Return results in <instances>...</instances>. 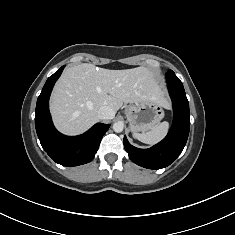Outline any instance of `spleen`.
<instances>
[{"label": "spleen", "mask_w": 235, "mask_h": 235, "mask_svg": "<svg viewBox=\"0 0 235 235\" xmlns=\"http://www.w3.org/2000/svg\"><path fill=\"white\" fill-rule=\"evenodd\" d=\"M168 129H169V123L164 121L149 132L141 134L135 133L133 134V136L143 143L154 145L159 141H161L166 136Z\"/></svg>", "instance_id": "1"}]
</instances>
